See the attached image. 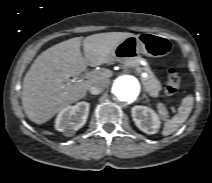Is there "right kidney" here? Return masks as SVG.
I'll return each mask as SVG.
<instances>
[{"label": "right kidney", "mask_w": 212, "mask_h": 183, "mask_svg": "<svg viewBox=\"0 0 212 183\" xmlns=\"http://www.w3.org/2000/svg\"><path fill=\"white\" fill-rule=\"evenodd\" d=\"M89 108V103L84 101L63 108L55 120V129L67 135L74 134L86 123Z\"/></svg>", "instance_id": "obj_1"}]
</instances>
